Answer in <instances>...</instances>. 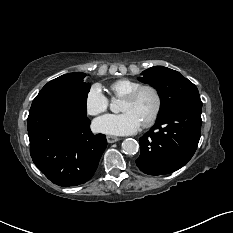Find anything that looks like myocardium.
<instances>
[{"instance_id": "myocardium-1", "label": "myocardium", "mask_w": 233, "mask_h": 233, "mask_svg": "<svg viewBox=\"0 0 233 233\" xmlns=\"http://www.w3.org/2000/svg\"><path fill=\"white\" fill-rule=\"evenodd\" d=\"M144 90L152 91L154 96H155V100H156V105H155L154 111L152 112L150 117L144 123H142V125L144 127H149L157 120V118L160 114L161 108H162V97H161L159 90L153 85H149V84L140 85L139 87H137L136 89H134L130 93L126 94L123 97V99L127 100V101H133Z\"/></svg>"}]
</instances>
